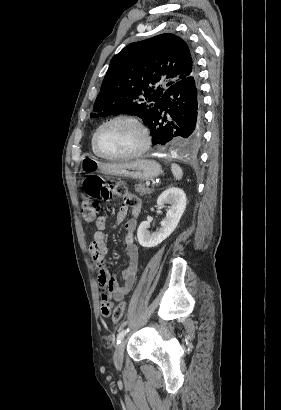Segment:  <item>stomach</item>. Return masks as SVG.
<instances>
[{"instance_id": "0dacf381", "label": "stomach", "mask_w": 281, "mask_h": 410, "mask_svg": "<svg viewBox=\"0 0 281 410\" xmlns=\"http://www.w3.org/2000/svg\"><path fill=\"white\" fill-rule=\"evenodd\" d=\"M81 170L138 180H150L158 177L162 172L161 166L153 160L135 159L120 163H100L92 157H84L81 160Z\"/></svg>"}]
</instances>
